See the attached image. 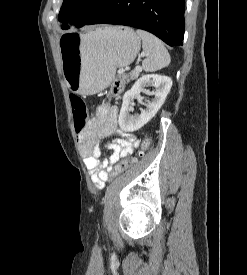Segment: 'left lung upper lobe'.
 <instances>
[{
    "mask_svg": "<svg viewBox=\"0 0 247 275\" xmlns=\"http://www.w3.org/2000/svg\"><path fill=\"white\" fill-rule=\"evenodd\" d=\"M107 0H63L58 20L62 29H68V22L76 27L83 26L106 3Z\"/></svg>",
    "mask_w": 247,
    "mask_h": 275,
    "instance_id": "left-lung-upper-lobe-1",
    "label": "left lung upper lobe"
}]
</instances>
